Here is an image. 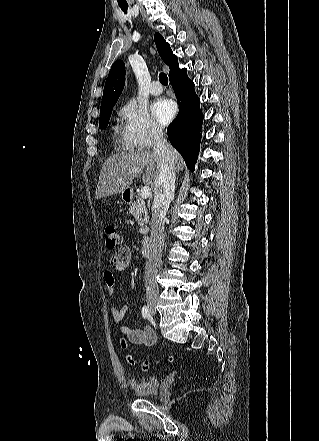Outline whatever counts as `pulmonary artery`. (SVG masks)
Here are the masks:
<instances>
[{
	"mask_svg": "<svg viewBox=\"0 0 319 441\" xmlns=\"http://www.w3.org/2000/svg\"><path fill=\"white\" fill-rule=\"evenodd\" d=\"M163 89L162 86L160 85V83L158 81H154L152 82L151 86H150V93L152 95H160L162 93Z\"/></svg>",
	"mask_w": 319,
	"mask_h": 441,
	"instance_id": "1",
	"label": "pulmonary artery"
}]
</instances>
